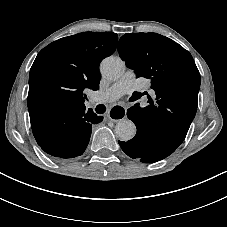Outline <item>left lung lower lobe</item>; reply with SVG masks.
Wrapping results in <instances>:
<instances>
[{
    "mask_svg": "<svg viewBox=\"0 0 227 227\" xmlns=\"http://www.w3.org/2000/svg\"><path fill=\"white\" fill-rule=\"evenodd\" d=\"M147 114L144 108L137 106L129 108L127 116L135 123L137 133L133 139L127 142L118 141V143L131 158L139 159L143 163H154L169 156L179 145L158 137L153 127L149 125L151 118L147 117Z\"/></svg>",
    "mask_w": 227,
    "mask_h": 227,
    "instance_id": "1",
    "label": "left lung lower lobe"
}]
</instances>
